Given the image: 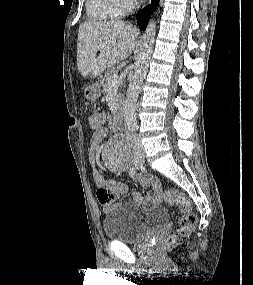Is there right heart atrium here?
<instances>
[{
    "instance_id": "obj_1",
    "label": "right heart atrium",
    "mask_w": 253,
    "mask_h": 285,
    "mask_svg": "<svg viewBox=\"0 0 253 285\" xmlns=\"http://www.w3.org/2000/svg\"><path fill=\"white\" fill-rule=\"evenodd\" d=\"M121 2L124 8H129L132 5L133 0H121Z\"/></svg>"
}]
</instances>
